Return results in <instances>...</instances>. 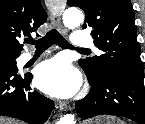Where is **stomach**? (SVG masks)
<instances>
[{"label": "stomach", "instance_id": "obj_1", "mask_svg": "<svg viewBox=\"0 0 145 124\" xmlns=\"http://www.w3.org/2000/svg\"><path fill=\"white\" fill-rule=\"evenodd\" d=\"M85 124H124L121 120L115 117L104 116Z\"/></svg>", "mask_w": 145, "mask_h": 124}]
</instances>
